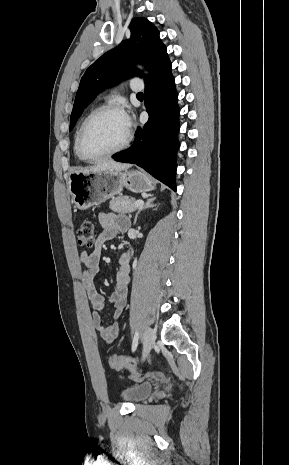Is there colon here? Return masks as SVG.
I'll use <instances>...</instances> for the list:
<instances>
[{
    "label": "colon",
    "mask_w": 289,
    "mask_h": 465,
    "mask_svg": "<svg viewBox=\"0 0 289 465\" xmlns=\"http://www.w3.org/2000/svg\"><path fill=\"white\" fill-rule=\"evenodd\" d=\"M78 244L85 247H92L96 242L94 223L85 219L81 222L77 230ZM109 365L112 369L121 370L127 366L126 359L123 356L112 355L109 358Z\"/></svg>",
    "instance_id": "1"
}]
</instances>
